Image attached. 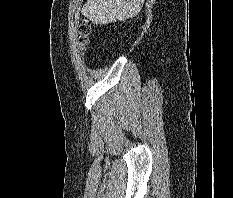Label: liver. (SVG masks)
Listing matches in <instances>:
<instances>
[{
  "label": "liver",
  "mask_w": 233,
  "mask_h": 198,
  "mask_svg": "<svg viewBox=\"0 0 233 198\" xmlns=\"http://www.w3.org/2000/svg\"><path fill=\"white\" fill-rule=\"evenodd\" d=\"M145 0H87L82 14L93 24L106 25L137 15Z\"/></svg>",
  "instance_id": "liver-1"
}]
</instances>
